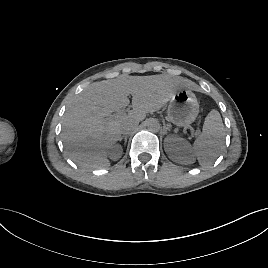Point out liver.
<instances>
[{
  "label": "liver",
  "instance_id": "6515ba94",
  "mask_svg": "<svg viewBox=\"0 0 268 268\" xmlns=\"http://www.w3.org/2000/svg\"><path fill=\"white\" fill-rule=\"evenodd\" d=\"M187 80L169 75L128 76L94 82L69 103L62 121V140L71 160L88 169H105L107 151L121 137L124 122L139 124L146 114L160 110ZM133 110L109 117L129 105Z\"/></svg>",
  "mask_w": 268,
  "mask_h": 268
}]
</instances>
